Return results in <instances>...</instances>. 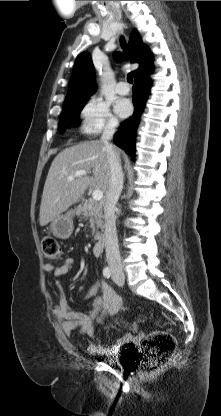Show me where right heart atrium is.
<instances>
[{
	"label": "right heart atrium",
	"instance_id": "d8ad5b80",
	"mask_svg": "<svg viewBox=\"0 0 221 416\" xmlns=\"http://www.w3.org/2000/svg\"><path fill=\"white\" fill-rule=\"evenodd\" d=\"M81 130L87 135L114 131L118 121L111 113L109 104L96 96L90 97L80 111Z\"/></svg>",
	"mask_w": 221,
	"mask_h": 416
}]
</instances>
